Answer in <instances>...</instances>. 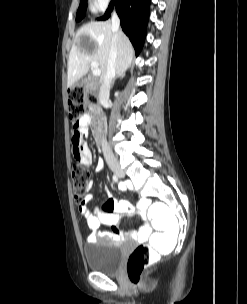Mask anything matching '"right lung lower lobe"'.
Segmentation results:
<instances>
[{
	"label": "right lung lower lobe",
	"instance_id": "obj_1",
	"mask_svg": "<svg viewBox=\"0 0 247 304\" xmlns=\"http://www.w3.org/2000/svg\"><path fill=\"white\" fill-rule=\"evenodd\" d=\"M114 6L121 20L122 29L132 42L138 56L146 37L150 0H111L104 16L98 19L107 20Z\"/></svg>",
	"mask_w": 247,
	"mask_h": 304
}]
</instances>
